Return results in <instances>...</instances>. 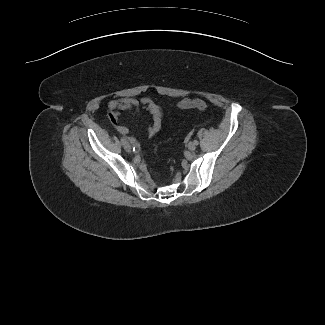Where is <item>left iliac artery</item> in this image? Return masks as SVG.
I'll return each mask as SVG.
<instances>
[{"mask_svg":"<svg viewBox=\"0 0 325 325\" xmlns=\"http://www.w3.org/2000/svg\"><path fill=\"white\" fill-rule=\"evenodd\" d=\"M194 144H195V145H198V141H197V140H194Z\"/></svg>","mask_w":325,"mask_h":325,"instance_id":"1","label":"left iliac artery"}]
</instances>
